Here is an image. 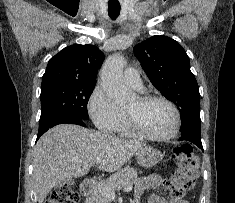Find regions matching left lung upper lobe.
<instances>
[{
    "label": "left lung upper lobe",
    "instance_id": "5c2ea615",
    "mask_svg": "<svg viewBox=\"0 0 235 203\" xmlns=\"http://www.w3.org/2000/svg\"><path fill=\"white\" fill-rule=\"evenodd\" d=\"M133 50L152 84L178 107L181 134H201L198 84L181 45L166 36H152Z\"/></svg>",
    "mask_w": 235,
    "mask_h": 203
}]
</instances>
